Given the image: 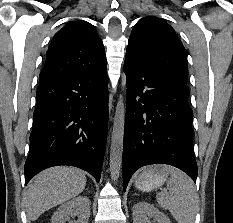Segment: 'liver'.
<instances>
[{
	"instance_id": "obj_1",
	"label": "liver",
	"mask_w": 233,
	"mask_h": 223,
	"mask_svg": "<svg viewBox=\"0 0 233 223\" xmlns=\"http://www.w3.org/2000/svg\"><path fill=\"white\" fill-rule=\"evenodd\" d=\"M85 185V171L78 167L57 165L40 171L23 197L29 219L35 221L46 209L79 195Z\"/></svg>"
}]
</instances>
